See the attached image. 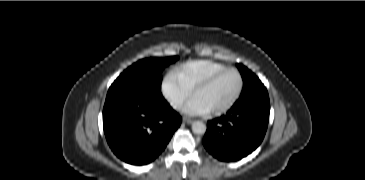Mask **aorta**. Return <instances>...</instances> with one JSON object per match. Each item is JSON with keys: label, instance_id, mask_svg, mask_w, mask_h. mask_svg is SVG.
<instances>
[{"label": "aorta", "instance_id": "aorta-1", "mask_svg": "<svg viewBox=\"0 0 365 180\" xmlns=\"http://www.w3.org/2000/svg\"><path fill=\"white\" fill-rule=\"evenodd\" d=\"M192 131L194 134H204L206 132V125L201 121H195L192 124Z\"/></svg>", "mask_w": 365, "mask_h": 180}]
</instances>
